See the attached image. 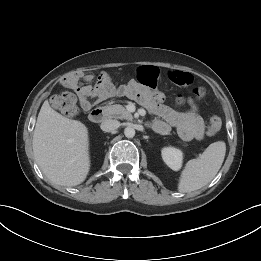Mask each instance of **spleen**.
Segmentation results:
<instances>
[{"mask_svg": "<svg viewBox=\"0 0 261 261\" xmlns=\"http://www.w3.org/2000/svg\"><path fill=\"white\" fill-rule=\"evenodd\" d=\"M226 144H210L199 158L189 160L181 172L178 191L188 193L207 185L218 173L225 158Z\"/></svg>", "mask_w": 261, "mask_h": 261, "instance_id": "obj_1", "label": "spleen"}]
</instances>
